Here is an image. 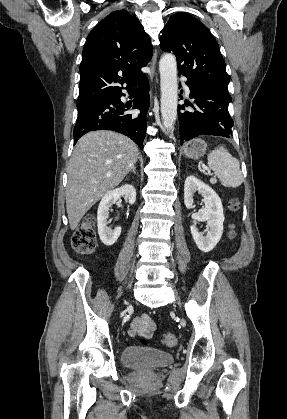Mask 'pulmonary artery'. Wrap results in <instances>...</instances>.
<instances>
[{"label": "pulmonary artery", "mask_w": 287, "mask_h": 419, "mask_svg": "<svg viewBox=\"0 0 287 419\" xmlns=\"http://www.w3.org/2000/svg\"><path fill=\"white\" fill-rule=\"evenodd\" d=\"M184 88H185L187 94H189L190 93L189 87L186 84H184Z\"/></svg>", "instance_id": "e3ab8cb5"}]
</instances>
